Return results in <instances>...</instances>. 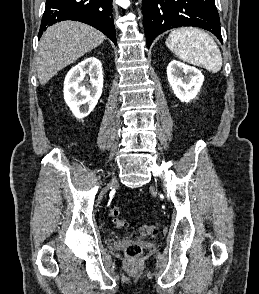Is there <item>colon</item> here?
<instances>
[{
    "label": "colon",
    "instance_id": "obj_1",
    "mask_svg": "<svg viewBox=\"0 0 259 294\" xmlns=\"http://www.w3.org/2000/svg\"><path fill=\"white\" fill-rule=\"evenodd\" d=\"M120 208L118 206H111L109 208V215L112 218L115 226L120 229H127L130 227V224L124 220L119 218ZM139 234L143 236H150L157 232L156 226L152 224H143L138 229ZM142 253V248L137 243H130L125 248V254L127 257L131 259H137Z\"/></svg>",
    "mask_w": 259,
    "mask_h": 294
}]
</instances>
